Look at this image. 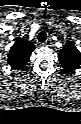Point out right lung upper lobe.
Here are the masks:
<instances>
[{
    "label": "right lung upper lobe",
    "mask_w": 81,
    "mask_h": 124,
    "mask_svg": "<svg viewBox=\"0 0 81 124\" xmlns=\"http://www.w3.org/2000/svg\"><path fill=\"white\" fill-rule=\"evenodd\" d=\"M34 49L35 45L31 41L21 38L17 39L8 53V64L14 70L23 69L28 64Z\"/></svg>",
    "instance_id": "1"
}]
</instances>
